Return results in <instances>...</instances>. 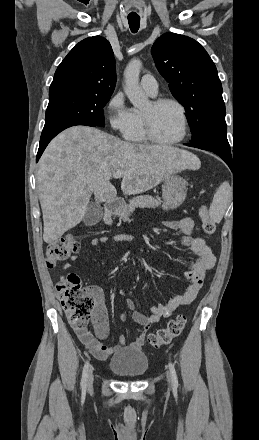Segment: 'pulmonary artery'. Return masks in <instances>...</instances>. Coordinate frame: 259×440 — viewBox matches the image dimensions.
Segmentation results:
<instances>
[{
	"label": "pulmonary artery",
	"mask_w": 259,
	"mask_h": 440,
	"mask_svg": "<svg viewBox=\"0 0 259 440\" xmlns=\"http://www.w3.org/2000/svg\"><path fill=\"white\" fill-rule=\"evenodd\" d=\"M140 85L147 93L155 96L158 92V83L154 76L151 74H145L140 81Z\"/></svg>",
	"instance_id": "pulmonary-artery-1"
}]
</instances>
